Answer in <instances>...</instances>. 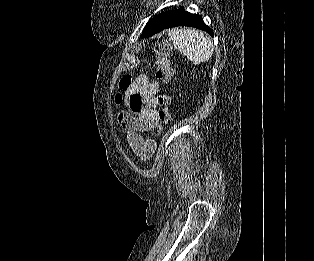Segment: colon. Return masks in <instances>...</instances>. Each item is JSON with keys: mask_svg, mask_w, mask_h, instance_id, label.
I'll use <instances>...</instances> for the list:
<instances>
[{"mask_svg": "<svg viewBox=\"0 0 314 261\" xmlns=\"http://www.w3.org/2000/svg\"><path fill=\"white\" fill-rule=\"evenodd\" d=\"M155 66V77L157 80L168 83L172 76L173 70L169 61L170 47L166 41L157 42L153 46ZM131 86V78L126 76L122 79L120 87L122 89H128ZM159 104L158 118L162 124H167L170 121V112L168 108L169 97L165 94L159 95L157 98Z\"/></svg>", "mask_w": 314, "mask_h": 261, "instance_id": "1", "label": "colon"}]
</instances>
